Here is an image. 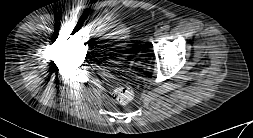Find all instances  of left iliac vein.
<instances>
[{
	"label": "left iliac vein",
	"instance_id": "4c4485c4",
	"mask_svg": "<svg viewBox=\"0 0 253 138\" xmlns=\"http://www.w3.org/2000/svg\"><path fill=\"white\" fill-rule=\"evenodd\" d=\"M161 35H162V31H161V30H157V31H155V33H154V37H155V38H159Z\"/></svg>",
	"mask_w": 253,
	"mask_h": 138
}]
</instances>
